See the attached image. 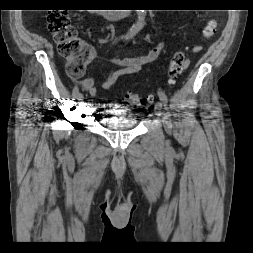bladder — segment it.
Masks as SVG:
<instances>
[{
    "instance_id": "31cf9c89",
    "label": "bladder",
    "mask_w": 253,
    "mask_h": 253,
    "mask_svg": "<svg viewBox=\"0 0 253 253\" xmlns=\"http://www.w3.org/2000/svg\"><path fill=\"white\" fill-rule=\"evenodd\" d=\"M100 116L102 125L112 130H130L138 124L136 117L123 106L116 107L114 111H101Z\"/></svg>"
}]
</instances>
